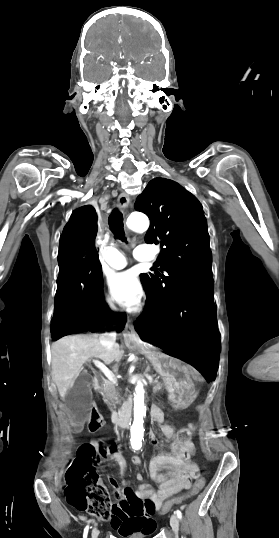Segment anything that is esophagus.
Masks as SVG:
<instances>
[{
  "label": "esophagus",
  "mask_w": 279,
  "mask_h": 538,
  "mask_svg": "<svg viewBox=\"0 0 279 538\" xmlns=\"http://www.w3.org/2000/svg\"><path fill=\"white\" fill-rule=\"evenodd\" d=\"M117 206L121 210H125L129 206V196L126 193H120L117 199ZM125 339H139L134 326L130 323L126 326V330L123 333Z\"/></svg>",
  "instance_id": "obj_1"
}]
</instances>
